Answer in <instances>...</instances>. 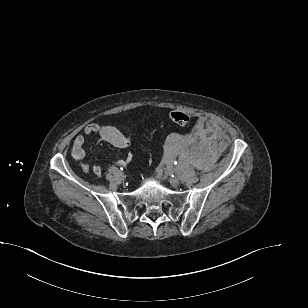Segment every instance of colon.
<instances>
[{
  "label": "colon",
  "instance_id": "obj_1",
  "mask_svg": "<svg viewBox=\"0 0 308 308\" xmlns=\"http://www.w3.org/2000/svg\"><path fill=\"white\" fill-rule=\"evenodd\" d=\"M170 119L173 123L179 126H186L190 122L189 115L180 111L171 112Z\"/></svg>",
  "mask_w": 308,
  "mask_h": 308
}]
</instances>
